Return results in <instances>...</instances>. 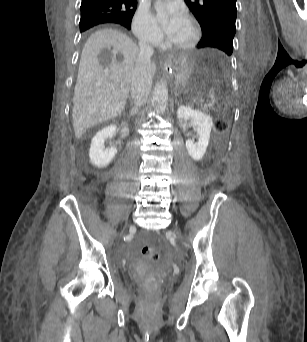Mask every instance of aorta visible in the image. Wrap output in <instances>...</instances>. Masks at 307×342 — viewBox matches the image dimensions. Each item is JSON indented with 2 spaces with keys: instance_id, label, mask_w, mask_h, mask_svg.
Listing matches in <instances>:
<instances>
[{
  "instance_id": "obj_1",
  "label": "aorta",
  "mask_w": 307,
  "mask_h": 342,
  "mask_svg": "<svg viewBox=\"0 0 307 342\" xmlns=\"http://www.w3.org/2000/svg\"><path fill=\"white\" fill-rule=\"evenodd\" d=\"M152 106L157 114L165 112L168 106V86L166 82H158L152 94Z\"/></svg>"
}]
</instances>
